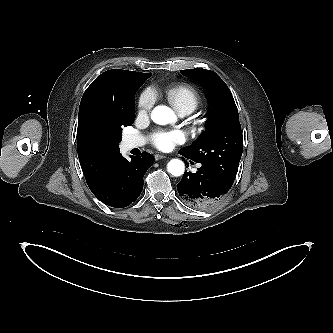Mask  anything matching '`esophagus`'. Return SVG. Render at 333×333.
Wrapping results in <instances>:
<instances>
[{"mask_svg": "<svg viewBox=\"0 0 333 333\" xmlns=\"http://www.w3.org/2000/svg\"><path fill=\"white\" fill-rule=\"evenodd\" d=\"M154 158H155V161H158V160H160V159H164V158H166V156L163 155V154H156V155L154 156Z\"/></svg>", "mask_w": 333, "mask_h": 333, "instance_id": "1", "label": "esophagus"}]
</instances>
